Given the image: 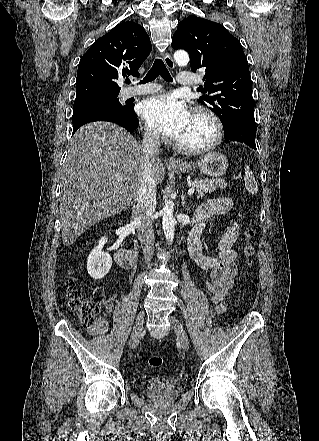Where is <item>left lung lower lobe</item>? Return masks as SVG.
I'll use <instances>...</instances> for the list:
<instances>
[{"label":"left lung lower lobe","instance_id":"obj_1","mask_svg":"<svg viewBox=\"0 0 319 441\" xmlns=\"http://www.w3.org/2000/svg\"><path fill=\"white\" fill-rule=\"evenodd\" d=\"M225 143H229L231 141H237L247 144L253 149H256L255 137H256V129L243 126L236 125L231 128L227 133H224Z\"/></svg>","mask_w":319,"mask_h":441}]
</instances>
